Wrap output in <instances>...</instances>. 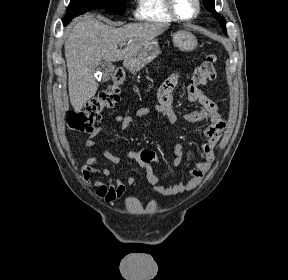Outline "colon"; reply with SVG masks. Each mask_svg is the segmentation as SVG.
<instances>
[{
  "label": "colon",
  "mask_w": 288,
  "mask_h": 280,
  "mask_svg": "<svg viewBox=\"0 0 288 280\" xmlns=\"http://www.w3.org/2000/svg\"><path fill=\"white\" fill-rule=\"evenodd\" d=\"M216 57L210 55L203 63L197 66L191 80L196 85H205L216 78ZM125 74L122 69L114 73L112 84L101 91L96 97L89 100L81 111H71L67 115V123L71 130L79 133H91L101 113L106 108L113 107L119 101V86L123 84Z\"/></svg>",
  "instance_id": "5ec220e1"
}]
</instances>
